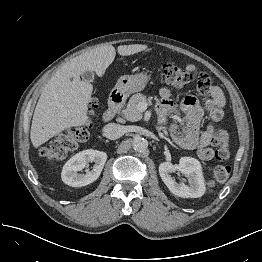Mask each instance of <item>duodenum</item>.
I'll list each match as a JSON object with an SVG mask.
<instances>
[{"label":"duodenum","instance_id":"1","mask_svg":"<svg viewBox=\"0 0 262 262\" xmlns=\"http://www.w3.org/2000/svg\"><path fill=\"white\" fill-rule=\"evenodd\" d=\"M125 97L122 92L114 91L108 101V108L102 115L103 122H109L119 112L124 104Z\"/></svg>","mask_w":262,"mask_h":262}]
</instances>
